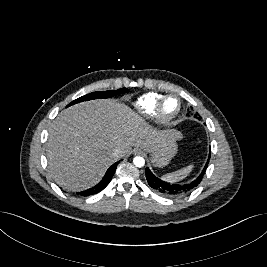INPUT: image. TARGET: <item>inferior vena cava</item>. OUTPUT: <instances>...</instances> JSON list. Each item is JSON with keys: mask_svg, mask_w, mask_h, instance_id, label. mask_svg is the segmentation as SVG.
Returning a JSON list of instances; mask_svg holds the SVG:
<instances>
[{"mask_svg": "<svg viewBox=\"0 0 267 267\" xmlns=\"http://www.w3.org/2000/svg\"><path fill=\"white\" fill-rule=\"evenodd\" d=\"M121 153H122V150L120 148H115L113 150L114 156H119V155H121Z\"/></svg>", "mask_w": 267, "mask_h": 267, "instance_id": "1", "label": "inferior vena cava"}]
</instances>
